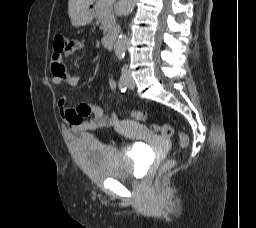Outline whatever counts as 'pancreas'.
Instances as JSON below:
<instances>
[{
    "instance_id": "obj_1",
    "label": "pancreas",
    "mask_w": 256,
    "mask_h": 228,
    "mask_svg": "<svg viewBox=\"0 0 256 228\" xmlns=\"http://www.w3.org/2000/svg\"><path fill=\"white\" fill-rule=\"evenodd\" d=\"M114 1L108 2L107 0H97L95 4L96 18L101 23L100 29L103 33L110 31L116 23L113 4Z\"/></svg>"
}]
</instances>
